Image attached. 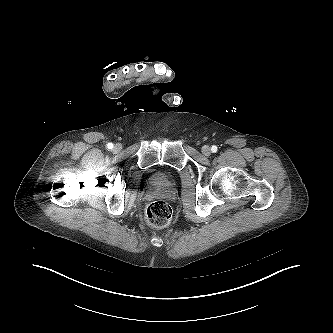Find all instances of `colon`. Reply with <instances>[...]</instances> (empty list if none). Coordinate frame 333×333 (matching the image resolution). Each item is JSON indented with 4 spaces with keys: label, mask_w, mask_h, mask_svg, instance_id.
Masks as SVG:
<instances>
[{
    "label": "colon",
    "mask_w": 333,
    "mask_h": 333,
    "mask_svg": "<svg viewBox=\"0 0 333 333\" xmlns=\"http://www.w3.org/2000/svg\"><path fill=\"white\" fill-rule=\"evenodd\" d=\"M173 216L172 207L163 200L151 202L145 211L146 221L155 228L166 227Z\"/></svg>",
    "instance_id": "1"
}]
</instances>
